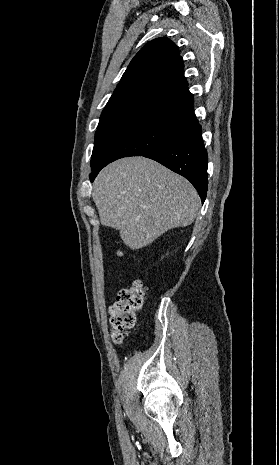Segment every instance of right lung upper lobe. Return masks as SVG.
Listing matches in <instances>:
<instances>
[{
    "label": "right lung upper lobe",
    "mask_w": 279,
    "mask_h": 465,
    "mask_svg": "<svg viewBox=\"0 0 279 465\" xmlns=\"http://www.w3.org/2000/svg\"><path fill=\"white\" fill-rule=\"evenodd\" d=\"M176 45L158 38L132 59L104 108L99 127L131 121L180 124L194 114Z\"/></svg>",
    "instance_id": "obj_1"
}]
</instances>
